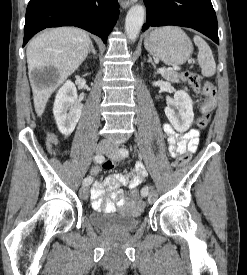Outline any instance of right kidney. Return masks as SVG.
Listing matches in <instances>:
<instances>
[{
	"label": "right kidney",
	"instance_id": "1",
	"mask_svg": "<svg viewBox=\"0 0 247 275\" xmlns=\"http://www.w3.org/2000/svg\"><path fill=\"white\" fill-rule=\"evenodd\" d=\"M83 105L78 101L75 85L66 81L56 94L53 114L59 131L70 135L78 123Z\"/></svg>",
	"mask_w": 247,
	"mask_h": 275
}]
</instances>
